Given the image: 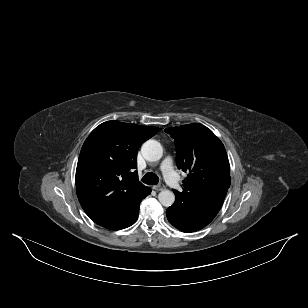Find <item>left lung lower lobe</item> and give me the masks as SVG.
I'll return each instance as SVG.
<instances>
[{"mask_svg":"<svg viewBox=\"0 0 308 308\" xmlns=\"http://www.w3.org/2000/svg\"><path fill=\"white\" fill-rule=\"evenodd\" d=\"M227 190L197 201L183 203L176 195L175 203L167 209L168 221L182 232H195L207 226L219 212Z\"/></svg>","mask_w":308,"mask_h":308,"instance_id":"left-lung-lower-lobe-1","label":"left lung lower lobe"}]
</instances>
